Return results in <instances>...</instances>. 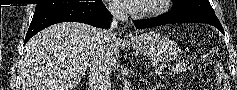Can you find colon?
Returning a JSON list of instances; mask_svg holds the SVG:
<instances>
[{
  "label": "colon",
  "mask_w": 237,
  "mask_h": 90,
  "mask_svg": "<svg viewBox=\"0 0 237 90\" xmlns=\"http://www.w3.org/2000/svg\"><path fill=\"white\" fill-rule=\"evenodd\" d=\"M215 80L218 90H231L228 76L220 64L215 67Z\"/></svg>",
  "instance_id": "obj_1"
}]
</instances>
